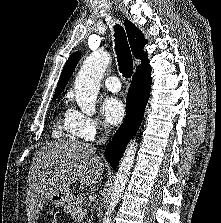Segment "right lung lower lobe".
Wrapping results in <instances>:
<instances>
[{"label": "right lung lower lobe", "mask_w": 221, "mask_h": 223, "mask_svg": "<svg viewBox=\"0 0 221 223\" xmlns=\"http://www.w3.org/2000/svg\"><path fill=\"white\" fill-rule=\"evenodd\" d=\"M151 83V70L135 72L126 99L125 119L105 150V157L113 169L118 166L127 143L135 135L142 122L150 96Z\"/></svg>", "instance_id": "obj_1"}]
</instances>
